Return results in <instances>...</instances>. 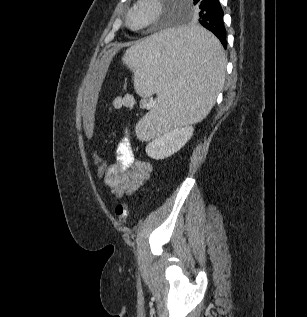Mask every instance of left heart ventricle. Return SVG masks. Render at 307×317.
Listing matches in <instances>:
<instances>
[{
  "label": "left heart ventricle",
  "mask_w": 307,
  "mask_h": 317,
  "mask_svg": "<svg viewBox=\"0 0 307 317\" xmlns=\"http://www.w3.org/2000/svg\"><path fill=\"white\" fill-rule=\"evenodd\" d=\"M143 16H144V13H140V14L138 15V19H141Z\"/></svg>",
  "instance_id": "left-heart-ventricle-1"
}]
</instances>
